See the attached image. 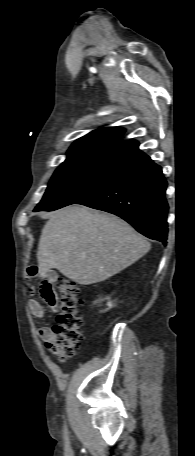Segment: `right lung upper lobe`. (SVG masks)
I'll use <instances>...</instances> for the list:
<instances>
[{
    "label": "right lung upper lobe",
    "instance_id": "right-lung-upper-lobe-1",
    "mask_svg": "<svg viewBox=\"0 0 195 456\" xmlns=\"http://www.w3.org/2000/svg\"><path fill=\"white\" fill-rule=\"evenodd\" d=\"M125 129L99 128L76 140L63 163L91 162L126 169L148 157L136 140L122 141Z\"/></svg>",
    "mask_w": 195,
    "mask_h": 456
}]
</instances>
